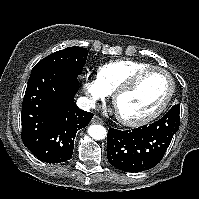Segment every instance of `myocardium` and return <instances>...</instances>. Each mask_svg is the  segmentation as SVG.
Here are the masks:
<instances>
[{
	"mask_svg": "<svg viewBox=\"0 0 199 199\" xmlns=\"http://www.w3.org/2000/svg\"><path fill=\"white\" fill-rule=\"evenodd\" d=\"M154 71L164 73L169 80V90L165 99L153 112L140 118H128L118 113V118L120 122L123 123L124 125L137 127V126L148 124L152 122L153 120H155L158 116H160L169 105L175 92V80L172 74L167 69L163 67H159V66H148L134 72L123 84H121L113 92V104L115 108H117V102L119 98L127 94L131 90H133L136 87L138 81L142 78V76Z\"/></svg>",
	"mask_w": 199,
	"mask_h": 199,
	"instance_id": "f54148a6",
	"label": "myocardium"
}]
</instances>
